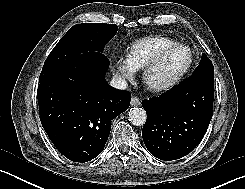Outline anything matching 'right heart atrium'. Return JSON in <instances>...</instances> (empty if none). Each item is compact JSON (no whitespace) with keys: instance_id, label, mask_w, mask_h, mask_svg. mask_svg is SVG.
Returning <instances> with one entry per match:
<instances>
[{"instance_id":"1","label":"right heart atrium","mask_w":245,"mask_h":189,"mask_svg":"<svg viewBox=\"0 0 245 189\" xmlns=\"http://www.w3.org/2000/svg\"><path fill=\"white\" fill-rule=\"evenodd\" d=\"M116 75L122 80H132L135 77L136 69L128 58L119 57L114 62Z\"/></svg>"}]
</instances>
